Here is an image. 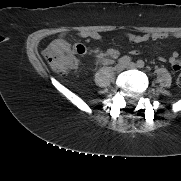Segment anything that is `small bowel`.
<instances>
[{"instance_id": "c3829d8e", "label": "small bowel", "mask_w": 181, "mask_h": 181, "mask_svg": "<svg viewBox=\"0 0 181 181\" xmlns=\"http://www.w3.org/2000/svg\"><path fill=\"white\" fill-rule=\"evenodd\" d=\"M80 36L82 38H90L93 40L101 41L102 37L98 32L90 31V32H81ZM181 38V32H174V33H166V32H156L152 34H127V38L132 43H144L149 40H164L167 38ZM54 47L58 48H69V44L63 39L62 35L58 37L53 42ZM134 54H138L139 51L135 50L133 51ZM119 55V52L115 49H108L103 51L100 54L101 58L110 57V58H117ZM161 60H164V58H160ZM169 62L171 64V67L174 71L181 70V58L177 52H174L171 57L169 58Z\"/></svg>"}]
</instances>
